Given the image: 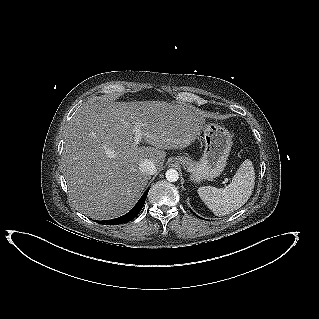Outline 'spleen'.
<instances>
[{"mask_svg": "<svg viewBox=\"0 0 319 319\" xmlns=\"http://www.w3.org/2000/svg\"><path fill=\"white\" fill-rule=\"evenodd\" d=\"M255 184L252 161L245 160L236 171L232 181L225 188L204 186L198 188V195L217 216H224L242 207L250 198Z\"/></svg>", "mask_w": 319, "mask_h": 319, "instance_id": "spleen-1", "label": "spleen"}]
</instances>
